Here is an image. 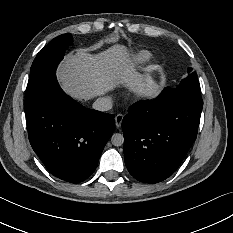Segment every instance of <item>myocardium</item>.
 I'll return each mask as SVG.
<instances>
[{
  "label": "myocardium",
  "instance_id": "obj_1",
  "mask_svg": "<svg viewBox=\"0 0 233 233\" xmlns=\"http://www.w3.org/2000/svg\"><path fill=\"white\" fill-rule=\"evenodd\" d=\"M156 65L153 63L147 70L145 76L137 83L135 87V93L137 95H142L148 91L152 84V76L156 71Z\"/></svg>",
  "mask_w": 233,
  "mask_h": 233
}]
</instances>
